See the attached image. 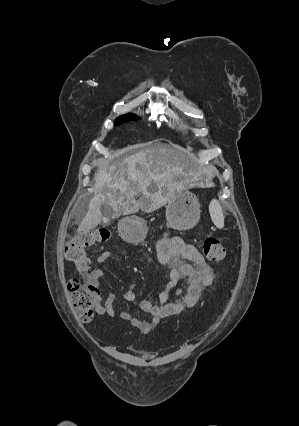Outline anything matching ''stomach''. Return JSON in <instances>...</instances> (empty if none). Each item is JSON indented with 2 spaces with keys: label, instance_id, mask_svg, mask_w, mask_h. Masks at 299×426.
<instances>
[{
  "label": "stomach",
  "instance_id": "1",
  "mask_svg": "<svg viewBox=\"0 0 299 426\" xmlns=\"http://www.w3.org/2000/svg\"><path fill=\"white\" fill-rule=\"evenodd\" d=\"M200 203L190 191L175 193L166 207V226L176 230H189L200 220ZM123 237L129 242H141L147 234L146 222L137 217L126 218Z\"/></svg>",
  "mask_w": 299,
  "mask_h": 426
}]
</instances>
